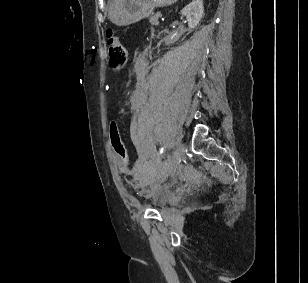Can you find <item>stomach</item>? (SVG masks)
<instances>
[{"label":"stomach","mask_w":308,"mask_h":283,"mask_svg":"<svg viewBox=\"0 0 308 283\" xmlns=\"http://www.w3.org/2000/svg\"><path fill=\"white\" fill-rule=\"evenodd\" d=\"M176 0H111L108 18L117 26H127L148 17L155 7L171 5Z\"/></svg>","instance_id":"stomach-1"}]
</instances>
